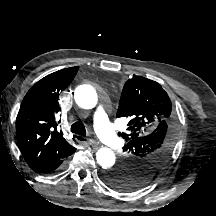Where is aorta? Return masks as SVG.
I'll use <instances>...</instances> for the list:
<instances>
[{"mask_svg":"<svg viewBox=\"0 0 216 216\" xmlns=\"http://www.w3.org/2000/svg\"><path fill=\"white\" fill-rule=\"evenodd\" d=\"M74 99L77 105L83 109H92L98 102L95 89L89 85L77 87ZM96 160L103 169H110L115 163V154L111 149L102 147L96 153Z\"/></svg>","mask_w":216,"mask_h":216,"instance_id":"762f6f07","label":"aorta"}]
</instances>
